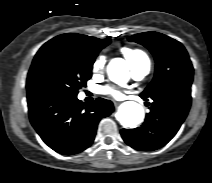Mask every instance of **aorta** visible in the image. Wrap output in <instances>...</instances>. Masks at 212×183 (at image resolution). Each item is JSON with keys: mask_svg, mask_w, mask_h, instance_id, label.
Here are the masks:
<instances>
[{"mask_svg": "<svg viewBox=\"0 0 212 183\" xmlns=\"http://www.w3.org/2000/svg\"><path fill=\"white\" fill-rule=\"evenodd\" d=\"M129 66L124 59L115 58L107 67L110 79L115 80L121 75L128 73ZM117 119L124 127L133 128L144 119V110L141 105L133 101L124 102L118 110Z\"/></svg>", "mask_w": 212, "mask_h": 183, "instance_id": "762f6f07", "label": "aorta"}]
</instances>
